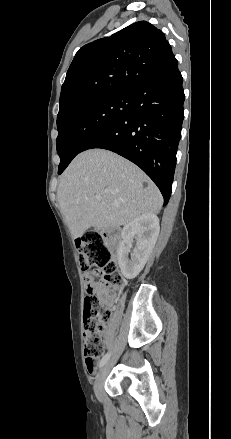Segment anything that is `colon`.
Here are the masks:
<instances>
[{"instance_id":"1","label":"colon","mask_w":231,"mask_h":439,"mask_svg":"<svg viewBox=\"0 0 231 439\" xmlns=\"http://www.w3.org/2000/svg\"><path fill=\"white\" fill-rule=\"evenodd\" d=\"M80 265L84 271H96L99 291L87 292L84 301V352L86 366L90 372L96 368L103 348L105 316L102 312L101 294H109L122 287L123 281L117 271L112 253L99 233L91 232L77 241Z\"/></svg>"}]
</instances>
